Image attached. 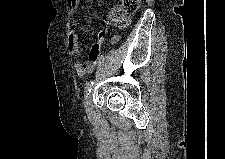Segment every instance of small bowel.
Listing matches in <instances>:
<instances>
[{"label": "small bowel", "instance_id": "1", "mask_svg": "<svg viewBox=\"0 0 225 159\" xmlns=\"http://www.w3.org/2000/svg\"><path fill=\"white\" fill-rule=\"evenodd\" d=\"M80 5L71 6V16L69 20V34L67 39V45L71 53L75 56H80L83 52L79 45V38L77 32V19L80 13ZM104 30H100L98 34V41L94 44L93 48L89 53L88 61H76L74 63L75 72L78 77H84L87 73L91 72L97 64L99 57V50L104 38Z\"/></svg>", "mask_w": 225, "mask_h": 159}]
</instances>
